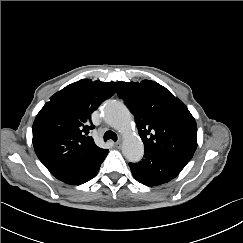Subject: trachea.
<instances>
[{"label":"trachea","instance_id":"1","mask_svg":"<svg viewBox=\"0 0 243 243\" xmlns=\"http://www.w3.org/2000/svg\"><path fill=\"white\" fill-rule=\"evenodd\" d=\"M113 140L114 142L117 141V135L113 132V131H106L104 133V141H107V140Z\"/></svg>","mask_w":243,"mask_h":243}]
</instances>
